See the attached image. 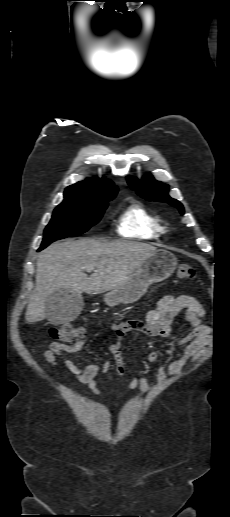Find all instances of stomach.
I'll return each mask as SVG.
<instances>
[{"label":"stomach","instance_id":"stomach-1","mask_svg":"<svg viewBox=\"0 0 230 517\" xmlns=\"http://www.w3.org/2000/svg\"><path fill=\"white\" fill-rule=\"evenodd\" d=\"M176 266L177 259L171 252L157 250L142 263L125 284L106 293L104 301L111 307L120 303H134L146 293L150 284L171 276Z\"/></svg>","mask_w":230,"mask_h":517}]
</instances>
